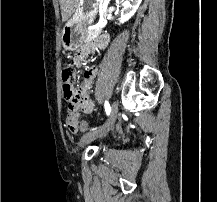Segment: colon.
I'll use <instances>...</instances> for the list:
<instances>
[{"instance_id": "5ec220e1", "label": "colon", "mask_w": 217, "mask_h": 202, "mask_svg": "<svg viewBox=\"0 0 217 202\" xmlns=\"http://www.w3.org/2000/svg\"><path fill=\"white\" fill-rule=\"evenodd\" d=\"M78 79L79 78L76 76V73L74 71L70 69L62 70L63 94L67 102L68 108L71 111H76L77 109L82 108L80 107V102H88L87 96H78V95H82L83 91L76 90L77 87H74V82H78ZM74 119H75L74 115L65 118V124L71 132H76L73 129L75 123ZM80 126H81L80 131L85 134L87 132L86 131L87 123L83 119L80 121Z\"/></svg>"}]
</instances>
